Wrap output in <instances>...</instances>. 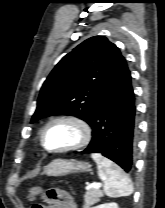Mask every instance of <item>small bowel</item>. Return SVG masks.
I'll return each mask as SVG.
<instances>
[{
	"label": "small bowel",
	"instance_id": "1",
	"mask_svg": "<svg viewBox=\"0 0 165 208\" xmlns=\"http://www.w3.org/2000/svg\"><path fill=\"white\" fill-rule=\"evenodd\" d=\"M30 208H77L72 196L61 189H49L42 203L33 204Z\"/></svg>",
	"mask_w": 165,
	"mask_h": 208
}]
</instances>
